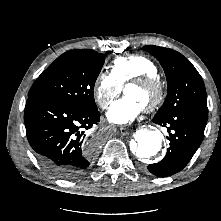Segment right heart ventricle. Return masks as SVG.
<instances>
[{
  "mask_svg": "<svg viewBox=\"0 0 221 221\" xmlns=\"http://www.w3.org/2000/svg\"><path fill=\"white\" fill-rule=\"evenodd\" d=\"M110 74L121 86H125L128 81L137 76L157 75V67L147 56L132 54L117 58L111 65Z\"/></svg>",
  "mask_w": 221,
  "mask_h": 221,
  "instance_id": "obj_1",
  "label": "right heart ventricle"
}]
</instances>
